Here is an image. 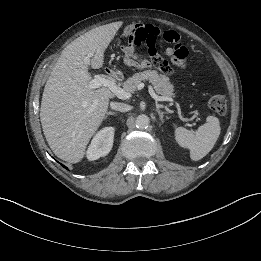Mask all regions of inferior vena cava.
<instances>
[{"mask_svg":"<svg viewBox=\"0 0 261 261\" xmlns=\"http://www.w3.org/2000/svg\"><path fill=\"white\" fill-rule=\"evenodd\" d=\"M111 108L120 112H126L130 109L129 105L124 104V103H117V102H112L110 104Z\"/></svg>","mask_w":261,"mask_h":261,"instance_id":"602c4592","label":"inferior vena cava"}]
</instances>
